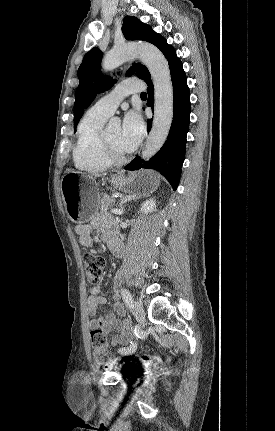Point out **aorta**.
<instances>
[{
	"mask_svg": "<svg viewBox=\"0 0 275 431\" xmlns=\"http://www.w3.org/2000/svg\"><path fill=\"white\" fill-rule=\"evenodd\" d=\"M140 58L148 68L154 85V119L142 158L148 160L164 145L173 120V86L168 62L162 52L149 44H128L113 48L102 62L104 70Z\"/></svg>",
	"mask_w": 275,
	"mask_h": 431,
	"instance_id": "1",
	"label": "aorta"
}]
</instances>
